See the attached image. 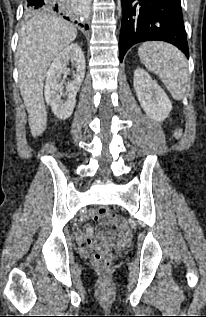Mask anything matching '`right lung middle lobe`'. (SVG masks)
<instances>
[{"label":"right lung middle lobe","instance_id":"right-lung-middle-lobe-1","mask_svg":"<svg viewBox=\"0 0 206 317\" xmlns=\"http://www.w3.org/2000/svg\"><path fill=\"white\" fill-rule=\"evenodd\" d=\"M43 12H33V13H25V17L28 18H33L35 16H37L38 14H41Z\"/></svg>","mask_w":206,"mask_h":317}]
</instances>
